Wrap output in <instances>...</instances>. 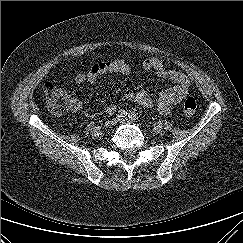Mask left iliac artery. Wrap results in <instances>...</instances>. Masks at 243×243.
<instances>
[{
    "mask_svg": "<svg viewBox=\"0 0 243 243\" xmlns=\"http://www.w3.org/2000/svg\"><path fill=\"white\" fill-rule=\"evenodd\" d=\"M128 116H129V118H131L133 120H137L138 119V115L134 111H130Z\"/></svg>",
    "mask_w": 243,
    "mask_h": 243,
    "instance_id": "44dca946",
    "label": "left iliac artery"
}]
</instances>
